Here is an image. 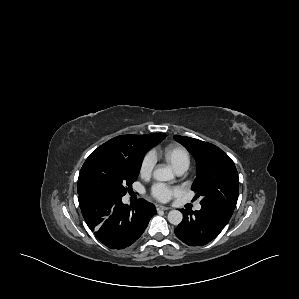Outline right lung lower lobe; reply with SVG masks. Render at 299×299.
Wrapping results in <instances>:
<instances>
[{
    "mask_svg": "<svg viewBox=\"0 0 299 299\" xmlns=\"http://www.w3.org/2000/svg\"><path fill=\"white\" fill-rule=\"evenodd\" d=\"M78 200L88 227L111 249L133 244L156 213L153 204L144 199L129 206L122 203V197L98 191H82Z\"/></svg>",
    "mask_w": 299,
    "mask_h": 299,
    "instance_id": "right-lung-lower-lobe-1",
    "label": "right lung lower lobe"
}]
</instances>
